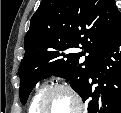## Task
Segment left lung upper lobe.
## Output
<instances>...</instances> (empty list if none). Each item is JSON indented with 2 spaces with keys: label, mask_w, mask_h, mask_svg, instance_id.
I'll list each match as a JSON object with an SVG mask.
<instances>
[{
  "label": "left lung upper lobe",
  "mask_w": 121,
  "mask_h": 113,
  "mask_svg": "<svg viewBox=\"0 0 121 113\" xmlns=\"http://www.w3.org/2000/svg\"><path fill=\"white\" fill-rule=\"evenodd\" d=\"M121 13L113 0H42L31 18L20 64L24 105L36 83L49 76L69 79L81 95L101 49L113 36ZM73 48L84 52L72 53Z\"/></svg>",
  "instance_id": "5c2ea615"
}]
</instances>
